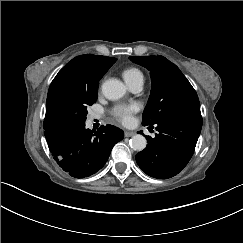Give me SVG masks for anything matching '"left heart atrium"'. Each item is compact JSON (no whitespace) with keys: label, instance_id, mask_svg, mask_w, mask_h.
<instances>
[{"label":"left heart atrium","instance_id":"39dd6f15","mask_svg":"<svg viewBox=\"0 0 243 243\" xmlns=\"http://www.w3.org/2000/svg\"><path fill=\"white\" fill-rule=\"evenodd\" d=\"M139 110L140 104L137 102L118 104L110 110V115L121 122L127 123L132 120L133 115Z\"/></svg>","mask_w":243,"mask_h":243}]
</instances>
